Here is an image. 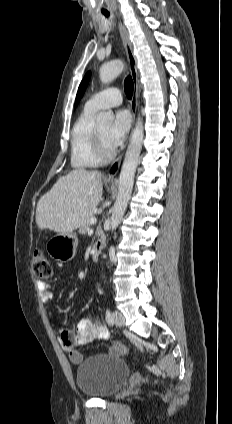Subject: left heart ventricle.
<instances>
[{"instance_id":"obj_1","label":"left heart ventricle","mask_w":232,"mask_h":424,"mask_svg":"<svg viewBox=\"0 0 232 424\" xmlns=\"http://www.w3.org/2000/svg\"><path fill=\"white\" fill-rule=\"evenodd\" d=\"M110 127H111V125L109 123L102 124V125L98 126L99 131H100L101 136H102L104 146L106 147L107 150L112 149L111 145L108 142V133H109Z\"/></svg>"}]
</instances>
